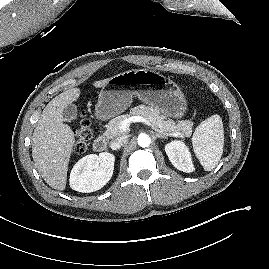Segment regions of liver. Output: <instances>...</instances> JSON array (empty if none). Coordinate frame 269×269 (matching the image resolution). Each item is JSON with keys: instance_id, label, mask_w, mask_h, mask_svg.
<instances>
[{"instance_id": "6515ba94", "label": "liver", "mask_w": 269, "mask_h": 269, "mask_svg": "<svg viewBox=\"0 0 269 269\" xmlns=\"http://www.w3.org/2000/svg\"><path fill=\"white\" fill-rule=\"evenodd\" d=\"M109 78L96 81L94 87L105 86ZM79 88H71L53 98L44 108L33 132L32 157L45 182L56 190H64L67 182L75 137L71 128L63 123V109L77 101Z\"/></svg>"}]
</instances>
